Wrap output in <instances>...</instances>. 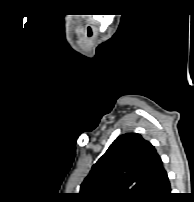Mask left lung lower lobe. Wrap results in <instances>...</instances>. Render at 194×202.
Listing matches in <instances>:
<instances>
[{
	"mask_svg": "<svg viewBox=\"0 0 194 202\" xmlns=\"http://www.w3.org/2000/svg\"><path fill=\"white\" fill-rule=\"evenodd\" d=\"M171 197V188L167 173L162 175L160 184L156 190L155 197L152 202H168Z\"/></svg>",
	"mask_w": 194,
	"mask_h": 202,
	"instance_id": "obj_1",
	"label": "left lung lower lobe"
}]
</instances>
